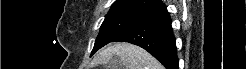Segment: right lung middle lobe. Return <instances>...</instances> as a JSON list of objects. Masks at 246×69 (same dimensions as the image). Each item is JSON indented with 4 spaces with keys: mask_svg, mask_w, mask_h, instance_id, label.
<instances>
[{
    "mask_svg": "<svg viewBox=\"0 0 246 69\" xmlns=\"http://www.w3.org/2000/svg\"><path fill=\"white\" fill-rule=\"evenodd\" d=\"M142 19V16L134 15L105 18L104 22L101 25L100 32L95 41V45L91 55H93L104 45L112 42L115 38H117L126 30L132 28L133 26L141 22Z\"/></svg>",
    "mask_w": 246,
    "mask_h": 69,
    "instance_id": "obj_1",
    "label": "right lung middle lobe"
}]
</instances>
